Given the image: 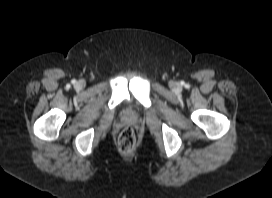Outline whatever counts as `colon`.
<instances>
[{"mask_svg":"<svg viewBox=\"0 0 272 198\" xmlns=\"http://www.w3.org/2000/svg\"><path fill=\"white\" fill-rule=\"evenodd\" d=\"M136 144V135L131 127L124 128L118 137L119 148L123 152H130Z\"/></svg>","mask_w":272,"mask_h":198,"instance_id":"colon-1","label":"colon"}]
</instances>
